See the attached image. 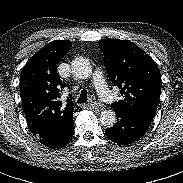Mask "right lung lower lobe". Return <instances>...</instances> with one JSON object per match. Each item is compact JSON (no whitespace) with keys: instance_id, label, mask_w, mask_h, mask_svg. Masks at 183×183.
<instances>
[{"instance_id":"obj_1","label":"right lung lower lobe","mask_w":183,"mask_h":183,"mask_svg":"<svg viewBox=\"0 0 183 183\" xmlns=\"http://www.w3.org/2000/svg\"><path fill=\"white\" fill-rule=\"evenodd\" d=\"M74 133L73 128L67 133L55 135H37L38 140L45 146L50 148H60L69 143Z\"/></svg>"}]
</instances>
